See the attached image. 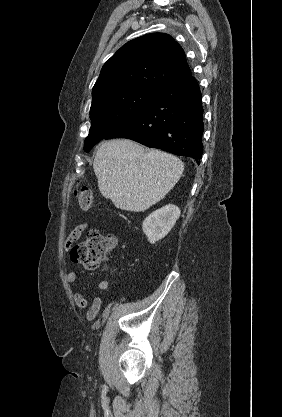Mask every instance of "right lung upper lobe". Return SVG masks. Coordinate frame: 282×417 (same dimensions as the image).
<instances>
[{"label":"right lung upper lobe","instance_id":"right-lung-upper-lobe-1","mask_svg":"<svg viewBox=\"0 0 282 417\" xmlns=\"http://www.w3.org/2000/svg\"><path fill=\"white\" fill-rule=\"evenodd\" d=\"M191 75L181 46L168 34L151 33L129 41L104 64L92 95L126 89L158 92Z\"/></svg>","mask_w":282,"mask_h":417}]
</instances>
